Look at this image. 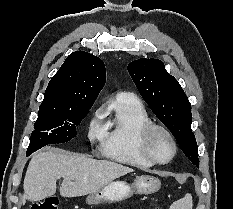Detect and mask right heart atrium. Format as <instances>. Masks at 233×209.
<instances>
[{"label":"right heart atrium","instance_id":"1","mask_svg":"<svg viewBox=\"0 0 233 209\" xmlns=\"http://www.w3.org/2000/svg\"><path fill=\"white\" fill-rule=\"evenodd\" d=\"M104 136V129L98 119H93L89 124L88 137L91 141H96Z\"/></svg>","mask_w":233,"mask_h":209}]
</instances>
